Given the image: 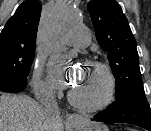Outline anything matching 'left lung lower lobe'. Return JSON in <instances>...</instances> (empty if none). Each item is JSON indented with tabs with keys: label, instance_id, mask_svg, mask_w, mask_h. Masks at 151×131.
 Returning <instances> with one entry per match:
<instances>
[{
	"label": "left lung lower lobe",
	"instance_id": "left-lung-lower-lobe-1",
	"mask_svg": "<svg viewBox=\"0 0 151 131\" xmlns=\"http://www.w3.org/2000/svg\"><path fill=\"white\" fill-rule=\"evenodd\" d=\"M98 122L135 124L151 131V109L144 89H135L94 116Z\"/></svg>",
	"mask_w": 151,
	"mask_h": 131
}]
</instances>
